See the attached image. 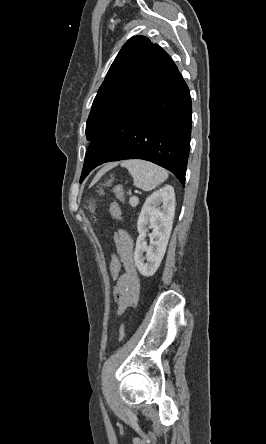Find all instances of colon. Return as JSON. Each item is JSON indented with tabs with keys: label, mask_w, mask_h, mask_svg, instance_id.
<instances>
[{
	"label": "colon",
	"mask_w": 266,
	"mask_h": 444,
	"mask_svg": "<svg viewBox=\"0 0 266 444\" xmlns=\"http://www.w3.org/2000/svg\"><path fill=\"white\" fill-rule=\"evenodd\" d=\"M114 194L119 199L122 200L124 198V188L123 186H116L114 188ZM110 213L113 218L120 219L121 211L120 207L117 203H112L110 206ZM121 269V261L117 253H113L111 256L110 264H109V273L113 280H118L120 276ZM126 336V326L122 324L119 328L118 332V341H122Z\"/></svg>",
	"instance_id": "colon-1"
}]
</instances>
